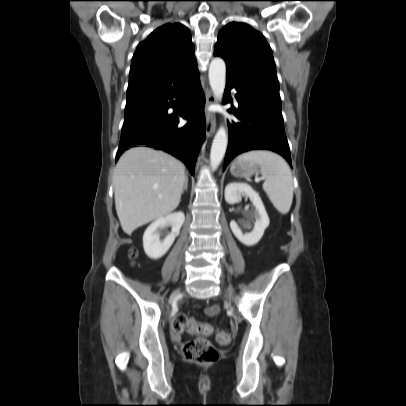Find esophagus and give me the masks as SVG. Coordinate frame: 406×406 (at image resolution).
<instances>
[{"label":"esophagus","instance_id":"34e87169","mask_svg":"<svg viewBox=\"0 0 406 406\" xmlns=\"http://www.w3.org/2000/svg\"><path fill=\"white\" fill-rule=\"evenodd\" d=\"M215 103V97L211 90L206 91V134L211 136L216 129V117L215 114L209 111V107Z\"/></svg>","mask_w":406,"mask_h":406}]
</instances>
